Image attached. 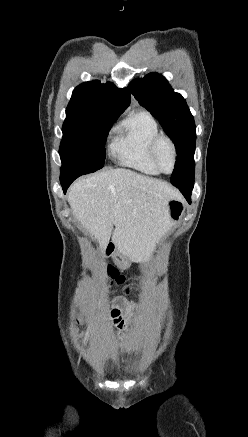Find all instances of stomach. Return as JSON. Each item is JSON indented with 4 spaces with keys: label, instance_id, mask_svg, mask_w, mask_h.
I'll use <instances>...</instances> for the list:
<instances>
[{
    "label": "stomach",
    "instance_id": "1",
    "mask_svg": "<svg viewBox=\"0 0 248 437\" xmlns=\"http://www.w3.org/2000/svg\"><path fill=\"white\" fill-rule=\"evenodd\" d=\"M185 212V203L180 199H171L168 202V213L170 216V221L172 225L177 224ZM117 264L122 268L126 269L130 266V259L119 253L116 256ZM146 271L148 273H154L156 271V266L154 264H148L146 266Z\"/></svg>",
    "mask_w": 248,
    "mask_h": 437
}]
</instances>
